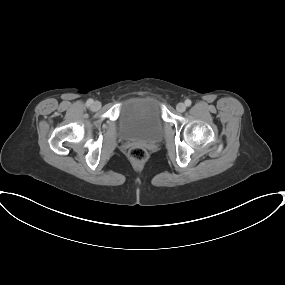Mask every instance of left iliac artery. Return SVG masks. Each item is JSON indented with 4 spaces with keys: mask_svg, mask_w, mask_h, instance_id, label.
Returning a JSON list of instances; mask_svg holds the SVG:
<instances>
[{
    "mask_svg": "<svg viewBox=\"0 0 285 285\" xmlns=\"http://www.w3.org/2000/svg\"><path fill=\"white\" fill-rule=\"evenodd\" d=\"M191 100L190 99H187V100H185V105L187 106V107H189V106H191Z\"/></svg>",
    "mask_w": 285,
    "mask_h": 285,
    "instance_id": "44dca946",
    "label": "left iliac artery"
}]
</instances>
